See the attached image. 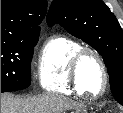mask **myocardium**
<instances>
[{
	"label": "myocardium",
	"mask_w": 123,
	"mask_h": 113,
	"mask_svg": "<svg viewBox=\"0 0 123 113\" xmlns=\"http://www.w3.org/2000/svg\"><path fill=\"white\" fill-rule=\"evenodd\" d=\"M88 55L94 57L98 61L103 74L102 89L96 94L86 93V91L82 87L81 80H80V65L83 59ZM69 72H70L72 84L80 94L86 95L87 97L90 98H99L106 93L109 86L108 68L102 55L97 50L90 47H81L80 49H78L70 61Z\"/></svg>",
	"instance_id": "f54148a6"
}]
</instances>
